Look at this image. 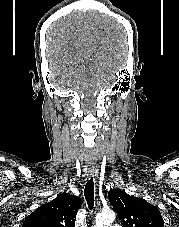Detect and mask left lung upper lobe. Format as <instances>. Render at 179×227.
<instances>
[{"mask_svg":"<svg viewBox=\"0 0 179 227\" xmlns=\"http://www.w3.org/2000/svg\"><path fill=\"white\" fill-rule=\"evenodd\" d=\"M108 198L125 227H164L159 209L146 200L119 189H111Z\"/></svg>","mask_w":179,"mask_h":227,"instance_id":"left-lung-upper-lobe-1","label":"left lung upper lobe"}]
</instances>
